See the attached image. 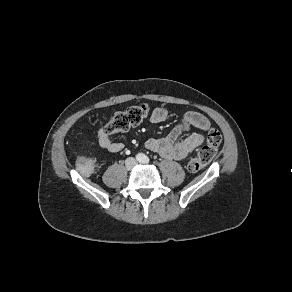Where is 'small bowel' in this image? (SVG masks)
Returning a JSON list of instances; mask_svg holds the SVG:
<instances>
[{
	"mask_svg": "<svg viewBox=\"0 0 292 292\" xmlns=\"http://www.w3.org/2000/svg\"><path fill=\"white\" fill-rule=\"evenodd\" d=\"M168 117V111L164 107L155 108L150 120L154 124L164 122ZM194 128L195 131L181 141H176L183 131ZM210 128L209 120L202 114L189 111L185 113L181 121L163 138H150L146 141V147L158 153L166 159L181 160L191 154L204 142V133ZM99 145L108 152L118 153L124 149V144L113 141L105 128L98 130Z\"/></svg>",
	"mask_w": 292,
	"mask_h": 292,
	"instance_id": "small-bowel-1",
	"label": "small bowel"
}]
</instances>
